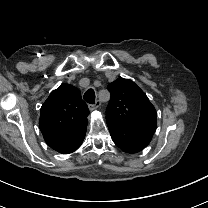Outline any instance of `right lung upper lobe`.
<instances>
[{"instance_id":"obj_1","label":"right lung upper lobe","mask_w":208,"mask_h":208,"mask_svg":"<svg viewBox=\"0 0 208 208\" xmlns=\"http://www.w3.org/2000/svg\"><path fill=\"white\" fill-rule=\"evenodd\" d=\"M88 115L79 89L61 84L41 107L39 127L47 145L68 140L85 130Z\"/></svg>"}]
</instances>
